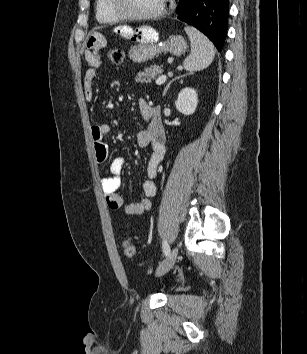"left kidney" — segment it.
Returning a JSON list of instances; mask_svg holds the SVG:
<instances>
[{
	"instance_id": "obj_1",
	"label": "left kidney",
	"mask_w": 307,
	"mask_h": 354,
	"mask_svg": "<svg viewBox=\"0 0 307 354\" xmlns=\"http://www.w3.org/2000/svg\"><path fill=\"white\" fill-rule=\"evenodd\" d=\"M198 104V95L193 88H184L178 94L175 102L176 109L184 115H191L195 112Z\"/></svg>"
}]
</instances>
